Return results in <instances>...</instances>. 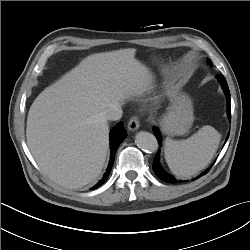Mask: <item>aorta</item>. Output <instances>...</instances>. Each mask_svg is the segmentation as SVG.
I'll return each instance as SVG.
<instances>
[{
	"label": "aorta",
	"instance_id": "aorta-1",
	"mask_svg": "<svg viewBox=\"0 0 250 250\" xmlns=\"http://www.w3.org/2000/svg\"><path fill=\"white\" fill-rule=\"evenodd\" d=\"M135 142L137 146L146 152H155L158 150V141L156 137L145 131H141L136 134Z\"/></svg>",
	"mask_w": 250,
	"mask_h": 250
}]
</instances>
